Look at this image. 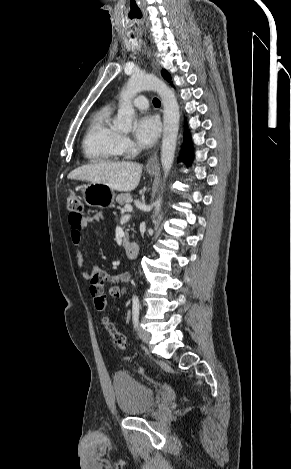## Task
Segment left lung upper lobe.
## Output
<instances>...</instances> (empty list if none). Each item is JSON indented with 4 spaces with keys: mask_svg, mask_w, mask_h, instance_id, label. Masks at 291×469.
<instances>
[{
    "mask_svg": "<svg viewBox=\"0 0 291 469\" xmlns=\"http://www.w3.org/2000/svg\"><path fill=\"white\" fill-rule=\"evenodd\" d=\"M162 76L167 80V81H171V76L170 74L166 71V70H163L162 71Z\"/></svg>",
    "mask_w": 291,
    "mask_h": 469,
    "instance_id": "left-lung-upper-lobe-1",
    "label": "left lung upper lobe"
}]
</instances>
